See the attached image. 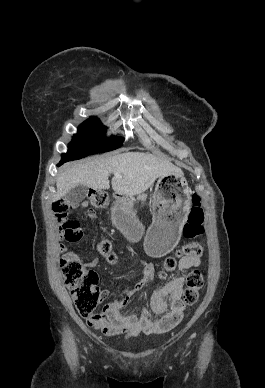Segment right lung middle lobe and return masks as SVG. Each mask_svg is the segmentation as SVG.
Wrapping results in <instances>:
<instances>
[{"label":"right lung middle lobe","mask_w":265,"mask_h":388,"mask_svg":"<svg viewBox=\"0 0 265 388\" xmlns=\"http://www.w3.org/2000/svg\"><path fill=\"white\" fill-rule=\"evenodd\" d=\"M106 128L95 117L82 123L71 141L68 152L62 154V162L78 160L91 154L108 152L122 145L120 138H106Z\"/></svg>","instance_id":"1"}]
</instances>
